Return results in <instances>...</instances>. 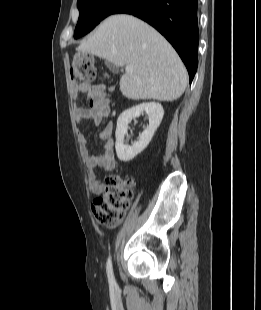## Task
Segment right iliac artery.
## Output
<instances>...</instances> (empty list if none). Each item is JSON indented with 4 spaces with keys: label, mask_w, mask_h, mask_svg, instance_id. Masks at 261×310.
<instances>
[{
    "label": "right iliac artery",
    "mask_w": 261,
    "mask_h": 310,
    "mask_svg": "<svg viewBox=\"0 0 261 310\" xmlns=\"http://www.w3.org/2000/svg\"><path fill=\"white\" fill-rule=\"evenodd\" d=\"M107 276H108V281H109L110 286L114 287L116 285V282H115V278L113 275L111 257H109L107 261Z\"/></svg>",
    "instance_id": "1"
}]
</instances>
